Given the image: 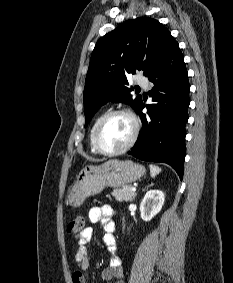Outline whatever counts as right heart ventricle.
Instances as JSON below:
<instances>
[{
    "label": "right heart ventricle",
    "mask_w": 233,
    "mask_h": 283,
    "mask_svg": "<svg viewBox=\"0 0 233 283\" xmlns=\"http://www.w3.org/2000/svg\"><path fill=\"white\" fill-rule=\"evenodd\" d=\"M105 112L100 113L93 121L90 131H89V146H90V151L92 154H99L97 152V150L94 147V143H93V136H94V131L96 129V126L98 125L99 121L102 119V117L105 115Z\"/></svg>",
    "instance_id": "e07e8e85"
}]
</instances>
